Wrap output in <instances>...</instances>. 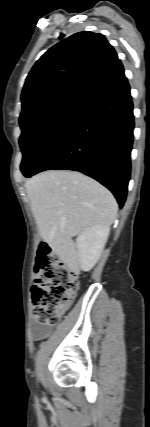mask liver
I'll return each mask as SVG.
<instances>
[{"mask_svg":"<svg viewBox=\"0 0 150 427\" xmlns=\"http://www.w3.org/2000/svg\"><path fill=\"white\" fill-rule=\"evenodd\" d=\"M41 238L70 259L72 237L93 225L110 226L118 205L112 193L79 172L49 170L25 183Z\"/></svg>","mask_w":150,"mask_h":427,"instance_id":"liver-1","label":"liver"}]
</instances>
